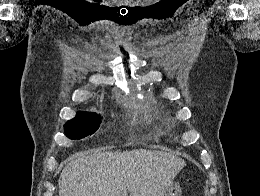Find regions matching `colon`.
<instances>
[{"instance_id":"obj_1","label":"colon","mask_w":260,"mask_h":196,"mask_svg":"<svg viewBox=\"0 0 260 196\" xmlns=\"http://www.w3.org/2000/svg\"><path fill=\"white\" fill-rule=\"evenodd\" d=\"M189 183H190V184H194V180H193V179H190V180H189ZM192 195H195V194H192Z\"/></svg>"}]
</instances>
